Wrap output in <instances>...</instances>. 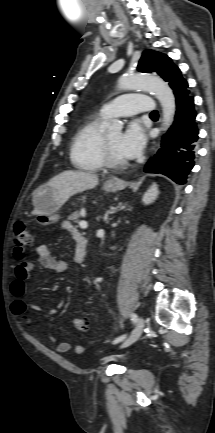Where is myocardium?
<instances>
[{
	"label": "myocardium",
	"mask_w": 215,
	"mask_h": 433,
	"mask_svg": "<svg viewBox=\"0 0 215 433\" xmlns=\"http://www.w3.org/2000/svg\"><path fill=\"white\" fill-rule=\"evenodd\" d=\"M102 159L104 165L110 168H122L127 165L126 160L119 159L113 154L106 135H104L102 139Z\"/></svg>",
	"instance_id": "f54148a6"
}]
</instances>
